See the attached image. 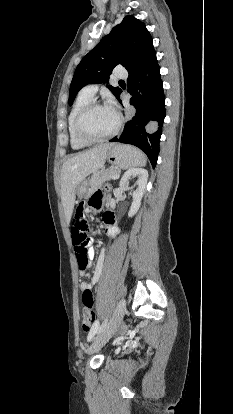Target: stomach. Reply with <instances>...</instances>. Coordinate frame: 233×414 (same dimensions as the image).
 <instances>
[{
	"label": "stomach",
	"mask_w": 233,
	"mask_h": 414,
	"mask_svg": "<svg viewBox=\"0 0 233 414\" xmlns=\"http://www.w3.org/2000/svg\"><path fill=\"white\" fill-rule=\"evenodd\" d=\"M106 159L113 167L127 169L139 164L144 159V154L132 146L115 144L108 149ZM76 193L82 198L88 196L89 190L85 182H80Z\"/></svg>",
	"instance_id": "stomach-1"
}]
</instances>
